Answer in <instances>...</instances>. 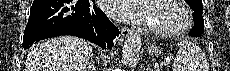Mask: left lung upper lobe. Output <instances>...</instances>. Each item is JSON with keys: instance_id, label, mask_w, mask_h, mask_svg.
<instances>
[{"instance_id": "left-lung-upper-lobe-1", "label": "left lung upper lobe", "mask_w": 230, "mask_h": 71, "mask_svg": "<svg viewBox=\"0 0 230 71\" xmlns=\"http://www.w3.org/2000/svg\"><path fill=\"white\" fill-rule=\"evenodd\" d=\"M185 1L195 11L194 13L202 14V0H185Z\"/></svg>"}]
</instances>
